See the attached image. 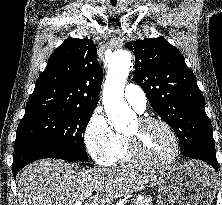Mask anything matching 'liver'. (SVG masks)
Here are the masks:
<instances>
[{"label":"liver","mask_w":222,"mask_h":205,"mask_svg":"<svg viewBox=\"0 0 222 205\" xmlns=\"http://www.w3.org/2000/svg\"><path fill=\"white\" fill-rule=\"evenodd\" d=\"M156 177L125 169L74 171L67 161L43 159L23 170L17 195L19 205H76L88 198L85 204L110 205L120 196L145 189Z\"/></svg>","instance_id":"liver-1"}]
</instances>
